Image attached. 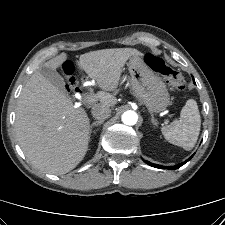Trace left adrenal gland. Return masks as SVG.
Listing matches in <instances>:
<instances>
[{
  "mask_svg": "<svg viewBox=\"0 0 225 225\" xmlns=\"http://www.w3.org/2000/svg\"><path fill=\"white\" fill-rule=\"evenodd\" d=\"M151 122H152V124L154 125V126H157L158 125V123H157V121H156V119L154 118V115L151 113Z\"/></svg>",
  "mask_w": 225,
  "mask_h": 225,
  "instance_id": "left-adrenal-gland-1",
  "label": "left adrenal gland"
}]
</instances>
